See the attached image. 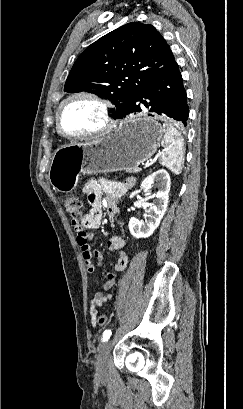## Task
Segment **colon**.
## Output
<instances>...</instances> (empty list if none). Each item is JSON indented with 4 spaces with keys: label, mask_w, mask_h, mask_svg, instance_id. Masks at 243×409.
<instances>
[{
    "label": "colon",
    "mask_w": 243,
    "mask_h": 409,
    "mask_svg": "<svg viewBox=\"0 0 243 409\" xmlns=\"http://www.w3.org/2000/svg\"><path fill=\"white\" fill-rule=\"evenodd\" d=\"M64 206L67 213L72 217L73 221H77L80 219L82 215V202L76 196H67L64 199ZM76 234L83 236L85 235L86 231L81 225H76L75 227ZM97 323L101 327H105L108 323V319L106 315L100 314L97 317Z\"/></svg>",
    "instance_id": "obj_1"
}]
</instances>
